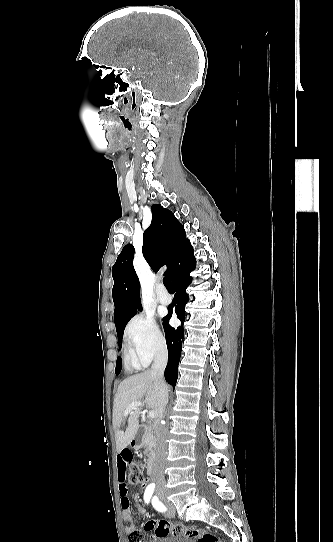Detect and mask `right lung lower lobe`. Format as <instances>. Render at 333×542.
<instances>
[{
  "instance_id": "right-lung-lower-lobe-1",
  "label": "right lung lower lobe",
  "mask_w": 333,
  "mask_h": 542,
  "mask_svg": "<svg viewBox=\"0 0 333 542\" xmlns=\"http://www.w3.org/2000/svg\"><path fill=\"white\" fill-rule=\"evenodd\" d=\"M195 266L194 251L192 246L189 245L177 254L170 275L176 294L172 304L169 306L167 316L163 318V325L168 348V364L165 369V379L173 387H175L178 377V363L181 356L184 328L183 325L173 328L168 322L173 313L176 314L181 322L185 320L184 306L189 300L185 290L192 281L189 273L194 270Z\"/></svg>"
}]
</instances>
